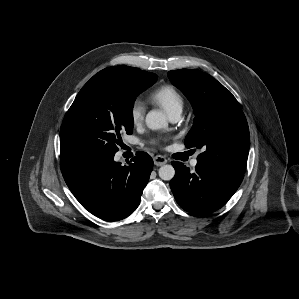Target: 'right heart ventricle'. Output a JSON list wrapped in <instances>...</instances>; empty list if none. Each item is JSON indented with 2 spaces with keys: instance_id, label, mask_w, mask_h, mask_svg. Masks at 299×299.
I'll return each instance as SVG.
<instances>
[{
  "instance_id": "obj_1",
  "label": "right heart ventricle",
  "mask_w": 299,
  "mask_h": 299,
  "mask_svg": "<svg viewBox=\"0 0 299 299\" xmlns=\"http://www.w3.org/2000/svg\"><path fill=\"white\" fill-rule=\"evenodd\" d=\"M150 100L162 107L168 115L182 111L184 99L181 93L171 85H162L150 94Z\"/></svg>"
}]
</instances>
